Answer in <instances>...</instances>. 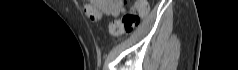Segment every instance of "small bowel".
I'll list each match as a JSON object with an SVG mask.
<instances>
[{
    "mask_svg": "<svg viewBox=\"0 0 238 70\" xmlns=\"http://www.w3.org/2000/svg\"><path fill=\"white\" fill-rule=\"evenodd\" d=\"M85 14L91 20H98L103 14L117 17L124 11L122 0H91L84 7ZM91 11H94L97 16L92 17Z\"/></svg>",
    "mask_w": 238,
    "mask_h": 70,
    "instance_id": "1",
    "label": "small bowel"
}]
</instances>
